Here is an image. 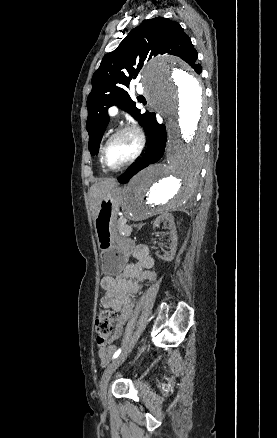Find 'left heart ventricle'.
<instances>
[{"label":"left heart ventricle","mask_w":277,"mask_h":438,"mask_svg":"<svg viewBox=\"0 0 277 438\" xmlns=\"http://www.w3.org/2000/svg\"><path fill=\"white\" fill-rule=\"evenodd\" d=\"M136 140L131 135H122L114 139L106 152V160L112 167L125 163L135 152Z\"/></svg>","instance_id":"1"}]
</instances>
